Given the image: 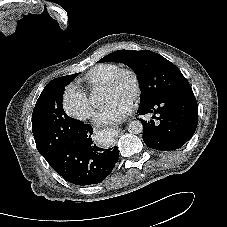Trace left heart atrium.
Listing matches in <instances>:
<instances>
[{"label": "left heart atrium", "mask_w": 227, "mask_h": 227, "mask_svg": "<svg viewBox=\"0 0 227 227\" xmlns=\"http://www.w3.org/2000/svg\"><path fill=\"white\" fill-rule=\"evenodd\" d=\"M131 99H114L106 103L98 115V121L103 125H111L122 121L132 110Z\"/></svg>", "instance_id": "left-heart-atrium-1"}]
</instances>
